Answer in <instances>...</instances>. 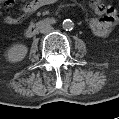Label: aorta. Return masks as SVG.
I'll return each mask as SVG.
<instances>
[{
	"mask_svg": "<svg viewBox=\"0 0 119 119\" xmlns=\"http://www.w3.org/2000/svg\"><path fill=\"white\" fill-rule=\"evenodd\" d=\"M74 27V23L70 19H66L63 21V29L72 30Z\"/></svg>",
	"mask_w": 119,
	"mask_h": 119,
	"instance_id": "obj_1",
	"label": "aorta"
}]
</instances>
